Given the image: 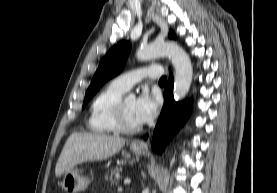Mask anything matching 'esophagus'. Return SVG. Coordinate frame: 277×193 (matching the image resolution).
I'll use <instances>...</instances> for the list:
<instances>
[{
  "label": "esophagus",
  "instance_id": "esophagus-1",
  "mask_svg": "<svg viewBox=\"0 0 277 193\" xmlns=\"http://www.w3.org/2000/svg\"><path fill=\"white\" fill-rule=\"evenodd\" d=\"M133 145L138 146V147H144V144L139 141L133 142Z\"/></svg>",
  "mask_w": 277,
  "mask_h": 193
}]
</instances>
